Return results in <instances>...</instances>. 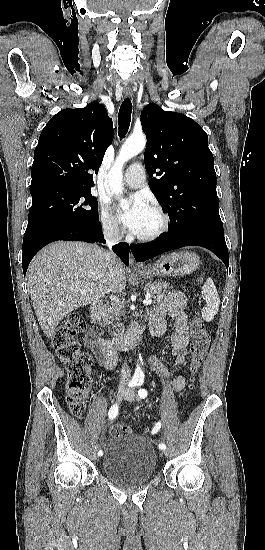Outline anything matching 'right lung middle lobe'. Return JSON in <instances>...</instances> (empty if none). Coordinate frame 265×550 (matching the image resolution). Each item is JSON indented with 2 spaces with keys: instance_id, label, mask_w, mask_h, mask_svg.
I'll use <instances>...</instances> for the list:
<instances>
[{
  "instance_id": "right-lung-middle-lobe-1",
  "label": "right lung middle lobe",
  "mask_w": 265,
  "mask_h": 550,
  "mask_svg": "<svg viewBox=\"0 0 265 550\" xmlns=\"http://www.w3.org/2000/svg\"><path fill=\"white\" fill-rule=\"evenodd\" d=\"M32 206L25 234L65 222H98L97 199L90 190L39 187L30 190Z\"/></svg>"
}]
</instances>
